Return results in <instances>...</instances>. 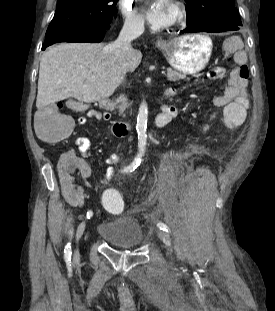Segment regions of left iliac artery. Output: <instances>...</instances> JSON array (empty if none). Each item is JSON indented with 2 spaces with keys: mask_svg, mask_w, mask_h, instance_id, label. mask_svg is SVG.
I'll list each match as a JSON object with an SVG mask.
<instances>
[{
  "mask_svg": "<svg viewBox=\"0 0 275 311\" xmlns=\"http://www.w3.org/2000/svg\"><path fill=\"white\" fill-rule=\"evenodd\" d=\"M157 226H158L161 230H163V231H166V232H169V231H170L169 228H168V226H167L166 224L162 223V222H158V223H157Z\"/></svg>",
  "mask_w": 275,
  "mask_h": 311,
  "instance_id": "1",
  "label": "left iliac artery"
}]
</instances>
